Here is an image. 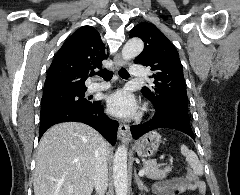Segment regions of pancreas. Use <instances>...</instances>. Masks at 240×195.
<instances>
[{
    "instance_id": "obj_1",
    "label": "pancreas",
    "mask_w": 240,
    "mask_h": 195,
    "mask_svg": "<svg viewBox=\"0 0 240 195\" xmlns=\"http://www.w3.org/2000/svg\"><path fill=\"white\" fill-rule=\"evenodd\" d=\"M144 165L142 169H145L147 177L150 179H163L167 177L172 167H165V169H158L156 159H142Z\"/></svg>"
}]
</instances>
